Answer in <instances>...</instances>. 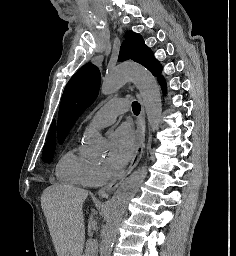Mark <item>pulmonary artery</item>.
Here are the masks:
<instances>
[{
    "instance_id": "1",
    "label": "pulmonary artery",
    "mask_w": 236,
    "mask_h": 256,
    "mask_svg": "<svg viewBox=\"0 0 236 256\" xmlns=\"http://www.w3.org/2000/svg\"><path fill=\"white\" fill-rule=\"evenodd\" d=\"M127 105L126 101H106V106L99 109L90 122L87 124V128L102 129L114 123L116 117L126 114Z\"/></svg>"
}]
</instances>
